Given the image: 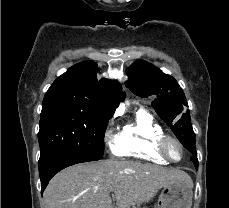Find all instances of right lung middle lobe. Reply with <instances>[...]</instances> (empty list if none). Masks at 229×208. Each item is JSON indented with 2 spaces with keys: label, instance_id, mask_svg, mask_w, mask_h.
Returning <instances> with one entry per match:
<instances>
[{
  "label": "right lung middle lobe",
  "instance_id": "right-lung-middle-lobe-1",
  "mask_svg": "<svg viewBox=\"0 0 229 208\" xmlns=\"http://www.w3.org/2000/svg\"><path fill=\"white\" fill-rule=\"evenodd\" d=\"M107 123V119L93 116L71 104L42 105L38 133L39 165L65 150L102 159Z\"/></svg>",
  "mask_w": 229,
  "mask_h": 208
}]
</instances>
